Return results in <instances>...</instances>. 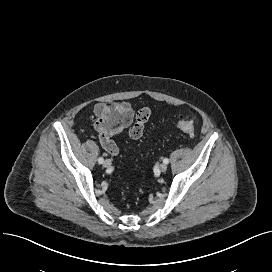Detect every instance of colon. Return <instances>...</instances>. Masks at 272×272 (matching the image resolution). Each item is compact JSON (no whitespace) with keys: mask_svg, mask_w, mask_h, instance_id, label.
Returning a JSON list of instances; mask_svg holds the SVG:
<instances>
[{"mask_svg":"<svg viewBox=\"0 0 272 272\" xmlns=\"http://www.w3.org/2000/svg\"><path fill=\"white\" fill-rule=\"evenodd\" d=\"M99 117L95 122V128L99 133L100 140L107 137L109 134L120 132L130 122V114L118 107L107 105L98 113ZM148 114H137L135 122L129 129V136L133 139L141 138L144 130V125ZM177 129L189 136H193L196 131V125L192 120L180 118L176 123Z\"/></svg>","mask_w":272,"mask_h":272,"instance_id":"1","label":"colon"}]
</instances>
